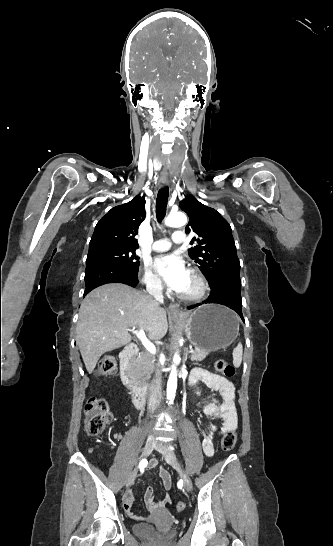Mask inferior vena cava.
Returning <instances> with one entry per match:
<instances>
[{
  "label": "inferior vena cava",
  "instance_id": "inferior-vena-cava-1",
  "mask_svg": "<svg viewBox=\"0 0 333 546\" xmlns=\"http://www.w3.org/2000/svg\"><path fill=\"white\" fill-rule=\"evenodd\" d=\"M147 292L154 297L158 303H163V286L159 279H152L147 283L146 286ZM161 402V384L158 379L154 380L150 387L149 401H148V410L151 413L158 408Z\"/></svg>",
  "mask_w": 333,
  "mask_h": 546
}]
</instances>
